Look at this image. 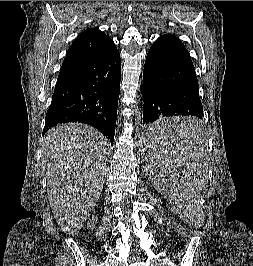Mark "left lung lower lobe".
<instances>
[{
    "mask_svg": "<svg viewBox=\"0 0 253 266\" xmlns=\"http://www.w3.org/2000/svg\"><path fill=\"white\" fill-rule=\"evenodd\" d=\"M143 123L151 141H169L194 136L203 116L198 81L188 50L171 34L158 38L151 46L143 71ZM194 116L167 122L164 117Z\"/></svg>",
    "mask_w": 253,
    "mask_h": 266,
    "instance_id": "1",
    "label": "left lung lower lobe"
}]
</instances>
